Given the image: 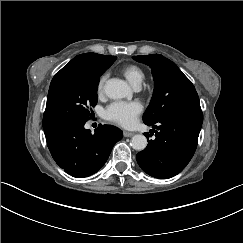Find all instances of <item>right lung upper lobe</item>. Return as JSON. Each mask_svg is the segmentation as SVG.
<instances>
[{
	"label": "right lung upper lobe",
	"mask_w": 243,
	"mask_h": 243,
	"mask_svg": "<svg viewBox=\"0 0 243 243\" xmlns=\"http://www.w3.org/2000/svg\"><path fill=\"white\" fill-rule=\"evenodd\" d=\"M112 57L113 56L100 55L97 53L77 55L64 66L56 76L74 71L98 72Z\"/></svg>",
	"instance_id": "obj_1"
}]
</instances>
